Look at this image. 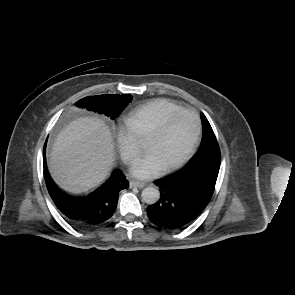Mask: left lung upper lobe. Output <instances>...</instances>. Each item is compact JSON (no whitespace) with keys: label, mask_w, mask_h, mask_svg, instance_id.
<instances>
[{"label":"left lung upper lobe","mask_w":295,"mask_h":295,"mask_svg":"<svg viewBox=\"0 0 295 295\" xmlns=\"http://www.w3.org/2000/svg\"><path fill=\"white\" fill-rule=\"evenodd\" d=\"M201 120L203 125L201 148L199 153L191 159L187 166L192 165L205 157L221 158L220 149L216 137L207 118L203 113H201Z\"/></svg>","instance_id":"obj_1"}]
</instances>
